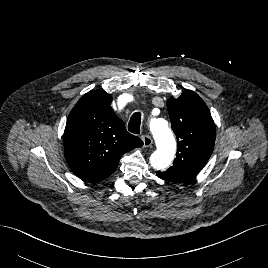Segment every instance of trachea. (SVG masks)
I'll return each instance as SVG.
<instances>
[{
    "label": "trachea",
    "mask_w": 268,
    "mask_h": 268,
    "mask_svg": "<svg viewBox=\"0 0 268 268\" xmlns=\"http://www.w3.org/2000/svg\"><path fill=\"white\" fill-rule=\"evenodd\" d=\"M140 123H141V113L135 112L129 121L128 130L131 133L139 134L140 133Z\"/></svg>",
    "instance_id": "3493384b"
}]
</instances>
